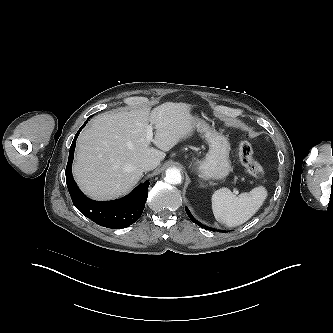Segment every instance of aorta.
Masks as SVG:
<instances>
[{"mask_svg": "<svg viewBox=\"0 0 333 333\" xmlns=\"http://www.w3.org/2000/svg\"><path fill=\"white\" fill-rule=\"evenodd\" d=\"M164 180L169 184H180L182 181V176L178 169L169 168L165 172Z\"/></svg>", "mask_w": 333, "mask_h": 333, "instance_id": "obj_1", "label": "aorta"}]
</instances>
